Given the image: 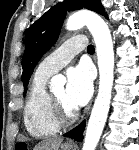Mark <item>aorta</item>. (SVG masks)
I'll list each match as a JSON object with an SVG mask.
<instances>
[{
    "mask_svg": "<svg viewBox=\"0 0 139 150\" xmlns=\"http://www.w3.org/2000/svg\"><path fill=\"white\" fill-rule=\"evenodd\" d=\"M83 26H87L96 45L99 89L87 125L82 150H96L110 108L114 81V49L110 29L98 14L89 10L78 11L69 16L66 23L67 30H77Z\"/></svg>",
    "mask_w": 139,
    "mask_h": 150,
    "instance_id": "762f6f07",
    "label": "aorta"
}]
</instances>
